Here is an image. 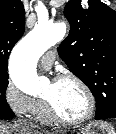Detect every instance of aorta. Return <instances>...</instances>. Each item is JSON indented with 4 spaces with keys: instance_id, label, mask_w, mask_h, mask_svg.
Wrapping results in <instances>:
<instances>
[{
    "instance_id": "obj_1",
    "label": "aorta",
    "mask_w": 116,
    "mask_h": 134,
    "mask_svg": "<svg viewBox=\"0 0 116 134\" xmlns=\"http://www.w3.org/2000/svg\"><path fill=\"white\" fill-rule=\"evenodd\" d=\"M66 34V25L39 22L12 51L9 63L10 77L17 88L29 95H37L46 84L39 77L36 63L51 46L60 42Z\"/></svg>"
}]
</instances>
